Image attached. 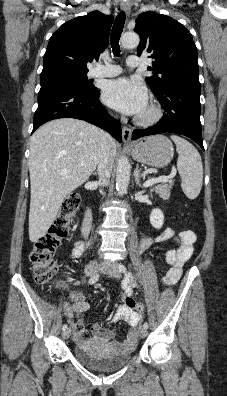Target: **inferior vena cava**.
<instances>
[{
	"instance_id": "obj_1",
	"label": "inferior vena cava",
	"mask_w": 227,
	"mask_h": 396,
	"mask_svg": "<svg viewBox=\"0 0 227 396\" xmlns=\"http://www.w3.org/2000/svg\"><path fill=\"white\" fill-rule=\"evenodd\" d=\"M110 140L111 136L107 133H104L97 170L99 175L98 183L101 186H106L108 184L114 162V155L111 151L109 143Z\"/></svg>"
}]
</instances>
